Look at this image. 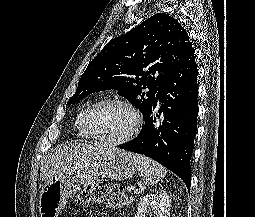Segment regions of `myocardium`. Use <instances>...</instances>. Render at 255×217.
Segmentation results:
<instances>
[{
    "instance_id": "f54148a6",
    "label": "myocardium",
    "mask_w": 255,
    "mask_h": 217,
    "mask_svg": "<svg viewBox=\"0 0 255 217\" xmlns=\"http://www.w3.org/2000/svg\"><path fill=\"white\" fill-rule=\"evenodd\" d=\"M105 104H118V105L124 106L131 111V113L134 117L133 126L131 127L129 132L120 139H116V140L105 139V138L101 137L99 134H97L92 127L91 115H92L93 111L96 108H98L102 105H105ZM142 123H143L142 116H141V113L139 112V110L137 109V107L129 100L124 99V98H119V97L105 98V99H102V100H99V101L93 103L92 105H90L87 108L85 115H84V124H85V127H86L88 133L91 135V137L100 141L101 143L109 145V146L123 145V144L129 142L130 140H132L134 138V136L140 131V129L142 127Z\"/></svg>"
}]
</instances>
